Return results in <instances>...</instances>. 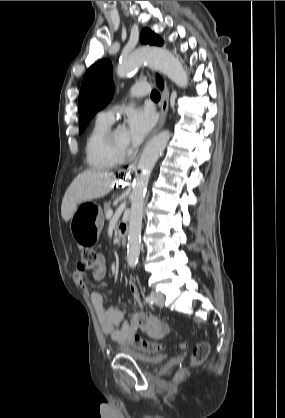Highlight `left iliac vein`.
I'll list each match as a JSON object with an SVG mask.
<instances>
[{
  "mask_svg": "<svg viewBox=\"0 0 285 418\" xmlns=\"http://www.w3.org/2000/svg\"><path fill=\"white\" fill-rule=\"evenodd\" d=\"M150 296L154 299L156 305L159 307L164 306V296L158 292H151Z\"/></svg>",
  "mask_w": 285,
  "mask_h": 418,
  "instance_id": "obj_1",
  "label": "left iliac vein"
}]
</instances>
